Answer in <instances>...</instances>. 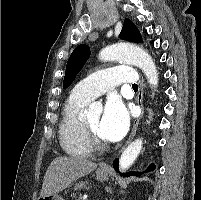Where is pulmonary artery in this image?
<instances>
[{
	"label": "pulmonary artery",
	"instance_id": "e3ab8cb5",
	"mask_svg": "<svg viewBox=\"0 0 201 200\" xmlns=\"http://www.w3.org/2000/svg\"><path fill=\"white\" fill-rule=\"evenodd\" d=\"M138 80L133 68L128 65L116 66L96 72L80 81L72 94L91 101L120 83L134 84Z\"/></svg>",
	"mask_w": 201,
	"mask_h": 200
}]
</instances>
